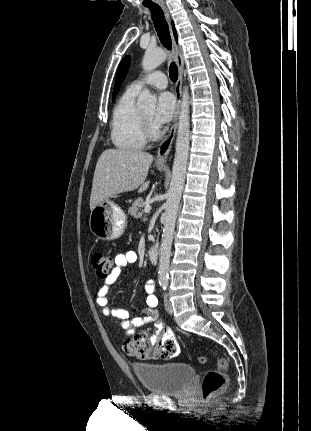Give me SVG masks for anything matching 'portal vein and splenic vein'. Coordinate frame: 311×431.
I'll return each mask as SVG.
<instances>
[{
    "mask_svg": "<svg viewBox=\"0 0 311 431\" xmlns=\"http://www.w3.org/2000/svg\"><path fill=\"white\" fill-rule=\"evenodd\" d=\"M150 210H152L151 206H145V208H144L145 214H148V212H150Z\"/></svg>",
    "mask_w": 311,
    "mask_h": 431,
    "instance_id": "obj_1",
    "label": "portal vein and splenic vein"
}]
</instances>
